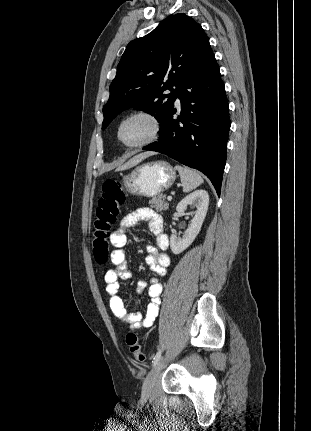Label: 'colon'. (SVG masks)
I'll return each mask as SVG.
<instances>
[{
  "label": "colon",
  "instance_id": "colon-1",
  "mask_svg": "<svg viewBox=\"0 0 311 431\" xmlns=\"http://www.w3.org/2000/svg\"><path fill=\"white\" fill-rule=\"evenodd\" d=\"M125 200L126 194L120 180L107 179L103 182L92 232V251L98 263H105L109 257L110 234ZM126 343L134 360L143 362L145 355L138 336L134 332H129L126 335Z\"/></svg>",
  "mask_w": 311,
  "mask_h": 431
}]
</instances>
